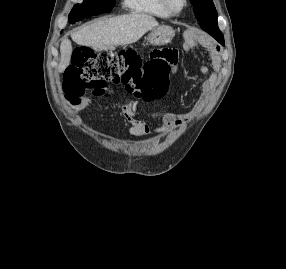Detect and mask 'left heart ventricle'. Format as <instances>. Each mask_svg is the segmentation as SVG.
<instances>
[{"label": "left heart ventricle", "mask_w": 286, "mask_h": 269, "mask_svg": "<svg viewBox=\"0 0 286 269\" xmlns=\"http://www.w3.org/2000/svg\"><path fill=\"white\" fill-rule=\"evenodd\" d=\"M172 3L175 8H180L181 6V0H172Z\"/></svg>", "instance_id": "left-heart-ventricle-1"}]
</instances>
